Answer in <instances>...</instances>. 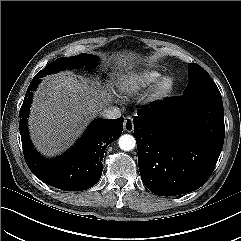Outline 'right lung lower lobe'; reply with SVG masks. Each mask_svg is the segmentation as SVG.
<instances>
[{
	"mask_svg": "<svg viewBox=\"0 0 241 241\" xmlns=\"http://www.w3.org/2000/svg\"><path fill=\"white\" fill-rule=\"evenodd\" d=\"M39 81L36 77L31 81L19 112L25 161L31 172L50 186L64 191L91 188L102 175L105 149L121 135L124 119L96 120L68 152L55 159H46L31 144L26 125L32 92Z\"/></svg>",
	"mask_w": 241,
	"mask_h": 241,
	"instance_id": "obj_1",
	"label": "right lung lower lobe"
}]
</instances>
